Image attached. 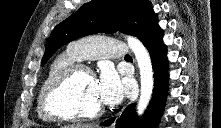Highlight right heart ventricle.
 I'll return each instance as SVG.
<instances>
[{"label": "right heart ventricle", "instance_id": "obj_1", "mask_svg": "<svg viewBox=\"0 0 221 128\" xmlns=\"http://www.w3.org/2000/svg\"><path fill=\"white\" fill-rule=\"evenodd\" d=\"M79 61L80 59L69 48H67L65 51H62L59 54H57L50 62L45 77L40 86L36 102L37 112L41 118L46 120L50 119L45 115H43V113L41 112L40 100H41L42 91L53 78H55L58 74L63 72L70 65L76 64Z\"/></svg>", "mask_w": 221, "mask_h": 128}]
</instances>
